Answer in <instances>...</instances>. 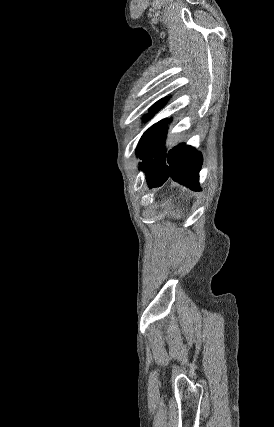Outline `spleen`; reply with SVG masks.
<instances>
[{
    "instance_id": "1",
    "label": "spleen",
    "mask_w": 274,
    "mask_h": 427,
    "mask_svg": "<svg viewBox=\"0 0 274 427\" xmlns=\"http://www.w3.org/2000/svg\"><path fill=\"white\" fill-rule=\"evenodd\" d=\"M162 206H167V208H169V210H171V214L172 217H181L179 210H176V212H174V210H172L169 202H164V204H162Z\"/></svg>"
}]
</instances>
